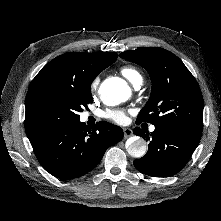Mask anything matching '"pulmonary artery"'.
<instances>
[{"instance_id":"1","label":"pulmonary artery","mask_w":221,"mask_h":221,"mask_svg":"<svg viewBox=\"0 0 221 221\" xmlns=\"http://www.w3.org/2000/svg\"><path fill=\"white\" fill-rule=\"evenodd\" d=\"M140 85H141V84L136 85L135 88H136V89H139V88H140ZM150 130H151V131H154V130H155V127H154V126H151V127H150Z\"/></svg>"}]
</instances>
